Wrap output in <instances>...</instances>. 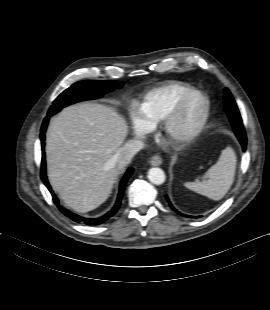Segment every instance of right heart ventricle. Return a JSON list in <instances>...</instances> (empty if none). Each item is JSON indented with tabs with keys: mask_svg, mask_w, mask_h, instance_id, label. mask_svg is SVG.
Instances as JSON below:
<instances>
[{
	"mask_svg": "<svg viewBox=\"0 0 270 310\" xmlns=\"http://www.w3.org/2000/svg\"><path fill=\"white\" fill-rule=\"evenodd\" d=\"M192 87L179 82H170L149 90L138 104L139 115L149 128L159 125L173 104Z\"/></svg>",
	"mask_w": 270,
	"mask_h": 310,
	"instance_id": "obj_1",
	"label": "right heart ventricle"
}]
</instances>
